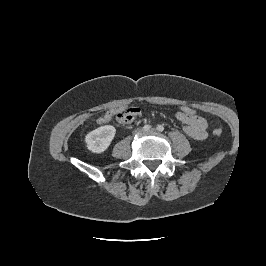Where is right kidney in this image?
Instances as JSON below:
<instances>
[{"label":"right kidney","instance_id":"1","mask_svg":"<svg viewBox=\"0 0 266 266\" xmlns=\"http://www.w3.org/2000/svg\"><path fill=\"white\" fill-rule=\"evenodd\" d=\"M116 133V129L112 125L101 126L85 137L87 148L93 153L104 152L111 144Z\"/></svg>","mask_w":266,"mask_h":266}]
</instances>
